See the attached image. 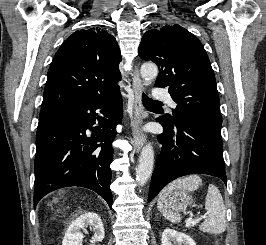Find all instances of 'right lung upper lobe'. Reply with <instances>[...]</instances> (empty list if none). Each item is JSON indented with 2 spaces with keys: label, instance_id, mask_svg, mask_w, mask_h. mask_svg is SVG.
<instances>
[{
  "label": "right lung upper lobe",
  "instance_id": "right-lung-upper-lobe-1",
  "mask_svg": "<svg viewBox=\"0 0 266 245\" xmlns=\"http://www.w3.org/2000/svg\"><path fill=\"white\" fill-rule=\"evenodd\" d=\"M120 50L114 36L101 29L74 32L56 52L40 119L71 104L119 91Z\"/></svg>",
  "mask_w": 266,
  "mask_h": 245
}]
</instances>
